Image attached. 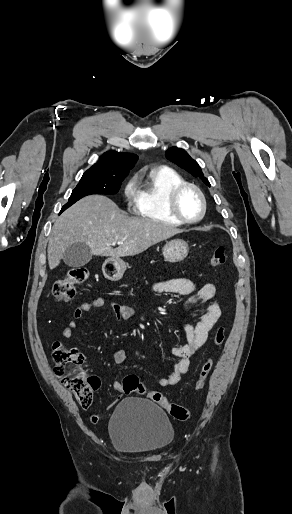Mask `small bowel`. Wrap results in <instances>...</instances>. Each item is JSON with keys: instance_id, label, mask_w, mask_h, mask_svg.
I'll use <instances>...</instances> for the list:
<instances>
[{"instance_id": "1", "label": "small bowel", "mask_w": 292, "mask_h": 514, "mask_svg": "<svg viewBox=\"0 0 292 514\" xmlns=\"http://www.w3.org/2000/svg\"><path fill=\"white\" fill-rule=\"evenodd\" d=\"M152 290L158 293L188 296V300L183 306V311L187 313L198 310L201 313V318L197 323L182 324L187 342L172 349L173 355L178 357L179 360L170 367L164 376L158 379L160 387L174 386L188 372L191 359L205 343L210 330L219 320L222 309L216 298V286L212 283L198 286L193 280L188 278H172L155 283L152 286ZM106 303V299L101 296L79 303L74 310L73 319L62 332L63 337L66 339L72 338L75 329L78 327V322L83 318L84 314L92 309L103 308ZM111 307L119 319L128 320L137 315L136 309L126 304L112 302ZM113 357L118 365L123 364L126 359L125 352L122 349L114 350ZM113 388L119 391L118 396L111 401V404L116 406L120 398L125 396V393L122 391L121 382L118 380L113 382ZM106 409L110 410L111 406L107 405Z\"/></svg>"}]
</instances>
